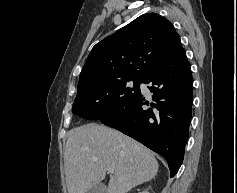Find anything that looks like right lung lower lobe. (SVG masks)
Segmentation results:
<instances>
[{"label":"right lung lower lobe","instance_id":"1","mask_svg":"<svg viewBox=\"0 0 237 193\" xmlns=\"http://www.w3.org/2000/svg\"><path fill=\"white\" fill-rule=\"evenodd\" d=\"M142 82L149 84L153 103L149 105L140 93L100 121L164 156L173 177L183 161L193 101L191 66L184 49L157 65Z\"/></svg>","mask_w":237,"mask_h":193}]
</instances>
